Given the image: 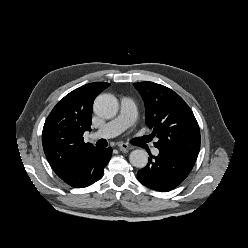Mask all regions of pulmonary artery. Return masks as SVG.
I'll list each match as a JSON object with an SVG mask.
<instances>
[{"mask_svg":"<svg viewBox=\"0 0 248 248\" xmlns=\"http://www.w3.org/2000/svg\"><path fill=\"white\" fill-rule=\"evenodd\" d=\"M136 112L137 107L135 101L130 97H123L121 99L120 114L92 133V137L111 138L117 136L134 123ZM158 153L159 151L157 149H153L154 155H157Z\"/></svg>","mask_w":248,"mask_h":248,"instance_id":"1","label":"pulmonary artery"}]
</instances>
